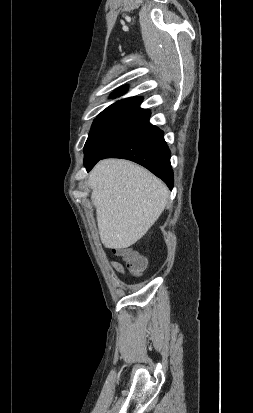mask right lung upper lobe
Masks as SVG:
<instances>
[{
    "mask_svg": "<svg viewBox=\"0 0 253 413\" xmlns=\"http://www.w3.org/2000/svg\"><path fill=\"white\" fill-rule=\"evenodd\" d=\"M127 87H121L116 90L112 97H117L126 92ZM142 102V97H130L122 99L115 102L114 104L107 107L98 116L104 115H130L139 117H150V111L147 109H141L140 103Z\"/></svg>",
    "mask_w": 253,
    "mask_h": 413,
    "instance_id": "1",
    "label": "right lung upper lobe"
}]
</instances>
